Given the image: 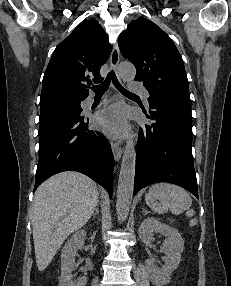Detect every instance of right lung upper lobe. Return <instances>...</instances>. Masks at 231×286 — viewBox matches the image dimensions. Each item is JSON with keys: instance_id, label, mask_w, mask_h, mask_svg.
Here are the masks:
<instances>
[{"instance_id": "1", "label": "right lung upper lobe", "mask_w": 231, "mask_h": 286, "mask_svg": "<svg viewBox=\"0 0 231 286\" xmlns=\"http://www.w3.org/2000/svg\"><path fill=\"white\" fill-rule=\"evenodd\" d=\"M110 53L100 24L93 20L80 23L52 55L43 77L40 107L84 100L88 85L103 80L100 68Z\"/></svg>"}]
</instances>
